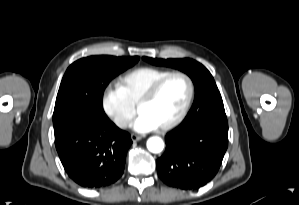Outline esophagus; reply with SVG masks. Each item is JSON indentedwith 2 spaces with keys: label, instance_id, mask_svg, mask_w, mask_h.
Listing matches in <instances>:
<instances>
[{
  "label": "esophagus",
  "instance_id": "obj_1",
  "mask_svg": "<svg viewBox=\"0 0 299 205\" xmlns=\"http://www.w3.org/2000/svg\"><path fill=\"white\" fill-rule=\"evenodd\" d=\"M142 139V137L141 136H139V135H137V134H131V140L132 141H139V140H141Z\"/></svg>",
  "mask_w": 299,
  "mask_h": 205
}]
</instances>
